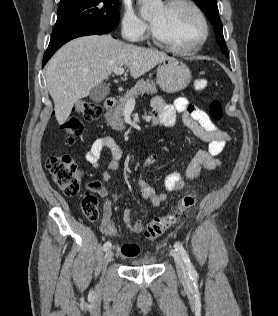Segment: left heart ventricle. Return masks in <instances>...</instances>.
Masks as SVG:
<instances>
[{"label":"left heart ventricle","instance_id":"1","mask_svg":"<svg viewBox=\"0 0 278 316\" xmlns=\"http://www.w3.org/2000/svg\"><path fill=\"white\" fill-rule=\"evenodd\" d=\"M150 21L162 38L180 47H192L202 36L197 14L185 4L171 7L162 4L153 12Z\"/></svg>","mask_w":278,"mask_h":316}]
</instances>
